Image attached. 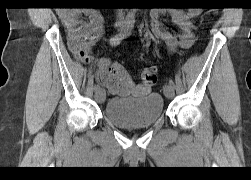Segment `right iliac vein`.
<instances>
[{
  "label": "right iliac vein",
  "instance_id": "63e3f726",
  "mask_svg": "<svg viewBox=\"0 0 251 180\" xmlns=\"http://www.w3.org/2000/svg\"><path fill=\"white\" fill-rule=\"evenodd\" d=\"M116 26L118 29H120L123 27V23L119 22ZM105 98H106V93L104 89L100 88L95 92V99L98 103H103L105 101Z\"/></svg>",
  "mask_w": 251,
  "mask_h": 180
}]
</instances>
